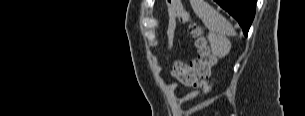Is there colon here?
<instances>
[{
  "mask_svg": "<svg viewBox=\"0 0 305 116\" xmlns=\"http://www.w3.org/2000/svg\"><path fill=\"white\" fill-rule=\"evenodd\" d=\"M169 11L181 22L189 23V30L195 38L198 55L189 63L178 62L173 67L174 77L183 85L201 89L209 93L211 87L208 79L216 58L212 53L200 26L191 21V16L179 0H167Z\"/></svg>",
  "mask_w": 305,
  "mask_h": 116,
  "instance_id": "1",
  "label": "colon"
}]
</instances>
